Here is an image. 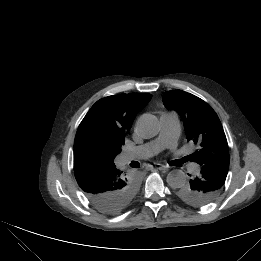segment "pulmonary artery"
<instances>
[{"instance_id":"1","label":"pulmonary artery","mask_w":261,"mask_h":261,"mask_svg":"<svg viewBox=\"0 0 261 261\" xmlns=\"http://www.w3.org/2000/svg\"><path fill=\"white\" fill-rule=\"evenodd\" d=\"M159 122L160 134L158 138L147 144L136 147L133 152L123 154V161L148 158L176 142L181 130L178 115L173 111L162 112L159 116ZM188 169L193 173H197L199 171L196 165H191Z\"/></svg>"}]
</instances>
